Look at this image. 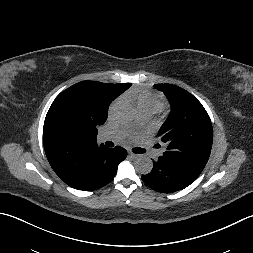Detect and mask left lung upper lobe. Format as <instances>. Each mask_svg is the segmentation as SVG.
Instances as JSON below:
<instances>
[{"label":"left lung upper lobe","instance_id":"1","mask_svg":"<svg viewBox=\"0 0 253 253\" xmlns=\"http://www.w3.org/2000/svg\"><path fill=\"white\" fill-rule=\"evenodd\" d=\"M172 109L159 130L166 151L161 156L202 172L211 152L212 124L202 104L186 90L171 84H156Z\"/></svg>","mask_w":253,"mask_h":253}]
</instances>
